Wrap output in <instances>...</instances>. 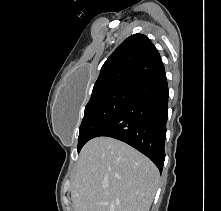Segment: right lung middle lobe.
Instances as JSON below:
<instances>
[{
    "instance_id": "1",
    "label": "right lung middle lobe",
    "mask_w": 221,
    "mask_h": 211,
    "mask_svg": "<svg viewBox=\"0 0 221 211\" xmlns=\"http://www.w3.org/2000/svg\"><path fill=\"white\" fill-rule=\"evenodd\" d=\"M134 89L117 88L91 97L79 128L78 152L122 108Z\"/></svg>"
}]
</instances>
